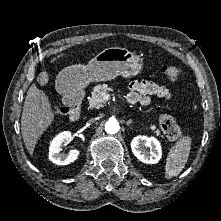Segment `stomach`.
Masks as SVG:
<instances>
[{
  "label": "stomach",
  "mask_w": 221,
  "mask_h": 221,
  "mask_svg": "<svg viewBox=\"0 0 221 221\" xmlns=\"http://www.w3.org/2000/svg\"><path fill=\"white\" fill-rule=\"evenodd\" d=\"M143 69V59L121 47H111L98 53L87 65L75 64L63 69L58 80L71 91L86 87L90 82L109 81L117 76L130 78Z\"/></svg>",
  "instance_id": "1"
}]
</instances>
